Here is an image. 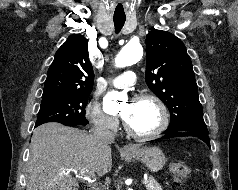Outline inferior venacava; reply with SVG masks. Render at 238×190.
Returning a JSON list of instances; mask_svg holds the SVG:
<instances>
[{
	"mask_svg": "<svg viewBox=\"0 0 238 190\" xmlns=\"http://www.w3.org/2000/svg\"><path fill=\"white\" fill-rule=\"evenodd\" d=\"M92 135L101 146H108L114 141V133L102 125H97L92 130Z\"/></svg>",
	"mask_w": 238,
	"mask_h": 190,
	"instance_id": "inferior-vena-cava-1",
	"label": "inferior vena cava"
}]
</instances>
